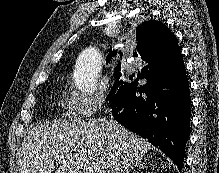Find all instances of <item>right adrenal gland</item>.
Masks as SVG:
<instances>
[{"label":"right adrenal gland","instance_id":"2a0ac1e0","mask_svg":"<svg viewBox=\"0 0 219 173\" xmlns=\"http://www.w3.org/2000/svg\"><path fill=\"white\" fill-rule=\"evenodd\" d=\"M135 166H138V164H136ZM133 169H134V167H132L131 169H129L128 171H126V173H130L131 170H133Z\"/></svg>","mask_w":219,"mask_h":173}]
</instances>
